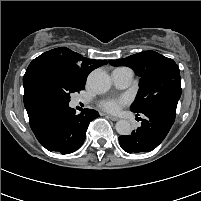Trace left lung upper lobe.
Listing matches in <instances>:
<instances>
[{
	"label": "left lung upper lobe",
	"instance_id": "5c2ea615",
	"mask_svg": "<svg viewBox=\"0 0 201 201\" xmlns=\"http://www.w3.org/2000/svg\"><path fill=\"white\" fill-rule=\"evenodd\" d=\"M109 63L113 66H128L141 77L140 89L131 111L143 113L160 105L177 107L181 96V81L174 60L149 50Z\"/></svg>",
	"mask_w": 201,
	"mask_h": 201
}]
</instances>
